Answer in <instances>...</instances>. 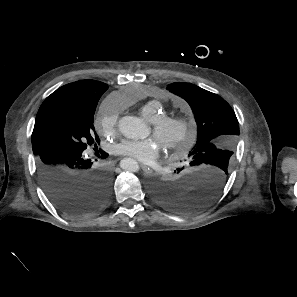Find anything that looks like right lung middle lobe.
<instances>
[{
  "label": "right lung middle lobe",
  "instance_id": "dd1d6c3e",
  "mask_svg": "<svg viewBox=\"0 0 297 297\" xmlns=\"http://www.w3.org/2000/svg\"><path fill=\"white\" fill-rule=\"evenodd\" d=\"M98 100L66 97L48 107L32 137L33 152L65 147L82 153L88 145L99 142L93 126Z\"/></svg>",
  "mask_w": 297,
  "mask_h": 297
}]
</instances>
